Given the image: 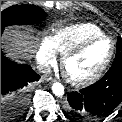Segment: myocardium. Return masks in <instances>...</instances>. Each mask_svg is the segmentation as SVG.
Segmentation results:
<instances>
[{
  "mask_svg": "<svg viewBox=\"0 0 122 122\" xmlns=\"http://www.w3.org/2000/svg\"><path fill=\"white\" fill-rule=\"evenodd\" d=\"M102 40H108L111 43L110 54H109L108 58L106 59V61L103 63V65L92 75H90L86 78H83V79H75V78H72L71 76H69L68 73L66 72L67 62L71 58L81 54L84 50H86L92 44L102 41ZM114 54H115V41L111 37L102 35V36L87 39V40L83 41L82 43L78 44L77 46L73 47L69 51H67L65 54H63L62 59H61V65L63 68L64 76L67 79V81L74 86L82 87V86L90 85V84L94 83L95 81H97L104 74V72L107 70V68L111 64Z\"/></svg>",
  "mask_w": 122,
  "mask_h": 122,
  "instance_id": "obj_1",
  "label": "myocardium"
}]
</instances>
